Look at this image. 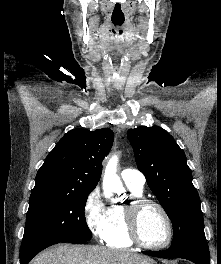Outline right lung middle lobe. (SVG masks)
<instances>
[{
	"label": "right lung middle lobe",
	"mask_w": 221,
	"mask_h": 264,
	"mask_svg": "<svg viewBox=\"0 0 221 264\" xmlns=\"http://www.w3.org/2000/svg\"><path fill=\"white\" fill-rule=\"evenodd\" d=\"M90 192H32L20 253L51 242L88 241L92 237L84 209Z\"/></svg>",
	"instance_id": "dd1d6c3e"
}]
</instances>
